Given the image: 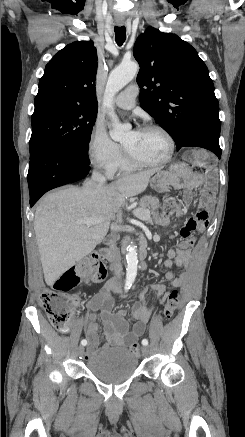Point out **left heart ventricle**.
<instances>
[{"label": "left heart ventricle", "mask_w": 245, "mask_h": 437, "mask_svg": "<svg viewBox=\"0 0 245 437\" xmlns=\"http://www.w3.org/2000/svg\"><path fill=\"white\" fill-rule=\"evenodd\" d=\"M123 144L133 156L146 161L162 159L168 151L165 137L156 130L130 131Z\"/></svg>", "instance_id": "1"}]
</instances>
